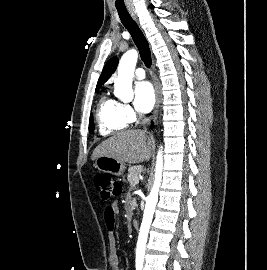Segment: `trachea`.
I'll return each mask as SVG.
<instances>
[{
	"instance_id": "trachea-1",
	"label": "trachea",
	"mask_w": 267,
	"mask_h": 270,
	"mask_svg": "<svg viewBox=\"0 0 267 270\" xmlns=\"http://www.w3.org/2000/svg\"><path fill=\"white\" fill-rule=\"evenodd\" d=\"M117 10L122 24L130 32L132 39L140 52L142 61L146 67L149 68L151 66V52L148 41L136 22L130 17L126 8L117 6Z\"/></svg>"
}]
</instances>
